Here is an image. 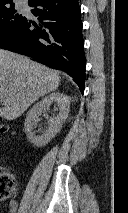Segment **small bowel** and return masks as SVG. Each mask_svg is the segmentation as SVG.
<instances>
[{"mask_svg":"<svg viewBox=\"0 0 128 213\" xmlns=\"http://www.w3.org/2000/svg\"><path fill=\"white\" fill-rule=\"evenodd\" d=\"M18 204L16 201L10 203V213H16Z\"/></svg>","mask_w":128,"mask_h":213,"instance_id":"c3829d8e","label":"small bowel"}]
</instances>
